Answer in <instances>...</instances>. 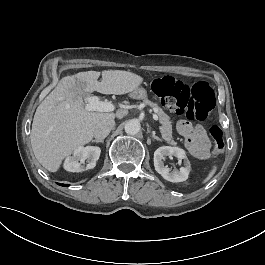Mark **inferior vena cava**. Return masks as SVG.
I'll return each instance as SVG.
<instances>
[{
	"label": "inferior vena cava",
	"instance_id": "obj_1",
	"mask_svg": "<svg viewBox=\"0 0 265 265\" xmlns=\"http://www.w3.org/2000/svg\"><path fill=\"white\" fill-rule=\"evenodd\" d=\"M114 126V120H103L95 126L93 136L99 140L104 139L109 135L110 131L114 128Z\"/></svg>",
	"mask_w": 265,
	"mask_h": 265
}]
</instances>
